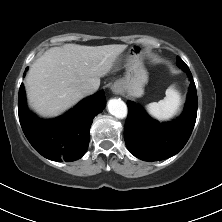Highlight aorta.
<instances>
[{"label":"aorta","mask_w":222,"mask_h":222,"mask_svg":"<svg viewBox=\"0 0 222 222\" xmlns=\"http://www.w3.org/2000/svg\"><path fill=\"white\" fill-rule=\"evenodd\" d=\"M107 107L109 113L116 118L123 119L127 116V106L121 99L109 100Z\"/></svg>","instance_id":"1"}]
</instances>
